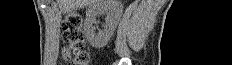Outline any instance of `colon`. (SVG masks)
I'll return each mask as SVG.
<instances>
[{
	"instance_id": "5ec220e1",
	"label": "colon",
	"mask_w": 232,
	"mask_h": 65,
	"mask_svg": "<svg viewBox=\"0 0 232 65\" xmlns=\"http://www.w3.org/2000/svg\"><path fill=\"white\" fill-rule=\"evenodd\" d=\"M62 30L66 45L65 55L72 56L69 65H88L89 54L85 50L82 16L76 12L67 14L62 23Z\"/></svg>"
}]
</instances>
